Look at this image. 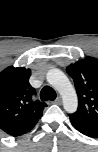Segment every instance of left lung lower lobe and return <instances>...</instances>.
I'll list each match as a JSON object with an SVG mask.
<instances>
[{
  "label": "left lung lower lobe",
  "mask_w": 98,
  "mask_h": 152,
  "mask_svg": "<svg viewBox=\"0 0 98 152\" xmlns=\"http://www.w3.org/2000/svg\"><path fill=\"white\" fill-rule=\"evenodd\" d=\"M71 123L81 133L93 138L98 137V127L82 124V123H76L73 121H71Z\"/></svg>",
  "instance_id": "1"
}]
</instances>
